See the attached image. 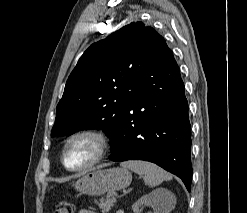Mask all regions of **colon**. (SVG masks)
<instances>
[{"label":"colon","instance_id":"colon-1","mask_svg":"<svg viewBox=\"0 0 247 213\" xmlns=\"http://www.w3.org/2000/svg\"><path fill=\"white\" fill-rule=\"evenodd\" d=\"M54 213H73V206L67 201H62L57 205Z\"/></svg>","mask_w":247,"mask_h":213}]
</instances>
